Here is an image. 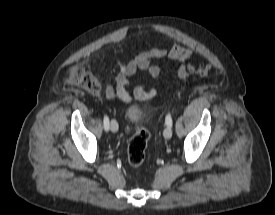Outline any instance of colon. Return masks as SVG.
I'll list each match as a JSON object with an SVG mask.
<instances>
[{
    "mask_svg": "<svg viewBox=\"0 0 275 215\" xmlns=\"http://www.w3.org/2000/svg\"><path fill=\"white\" fill-rule=\"evenodd\" d=\"M210 73V67L199 65L186 69L185 77H206ZM69 82L78 86L90 94H97L100 91L98 80L86 69L77 67L73 69L69 76ZM149 140V132L146 128L140 126L136 129L134 136L128 145V163L133 167L140 166L145 158V151Z\"/></svg>",
    "mask_w": 275,
    "mask_h": 215,
    "instance_id": "colon-1",
    "label": "colon"
}]
</instances>
